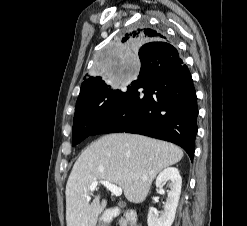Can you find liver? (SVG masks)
Segmentation results:
<instances>
[{
	"label": "liver",
	"mask_w": 247,
	"mask_h": 226,
	"mask_svg": "<svg viewBox=\"0 0 247 226\" xmlns=\"http://www.w3.org/2000/svg\"><path fill=\"white\" fill-rule=\"evenodd\" d=\"M183 151L172 143L149 137L114 133L92 142L75 162L66 184L67 226H96L107 201L96 195L90 203V185L105 180L122 188L126 199L141 203L156 175L179 162Z\"/></svg>",
	"instance_id": "obj_1"
}]
</instances>
